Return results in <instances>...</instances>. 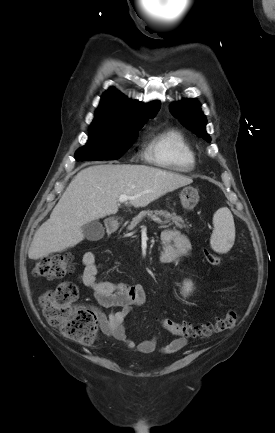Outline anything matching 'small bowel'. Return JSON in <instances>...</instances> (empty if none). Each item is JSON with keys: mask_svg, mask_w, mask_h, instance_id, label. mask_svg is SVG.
Instances as JSON below:
<instances>
[{"mask_svg": "<svg viewBox=\"0 0 275 433\" xmlns=\"http://www.w3.org/2000/svg\"><path fill=\"white\" fill-rule=\"evenodd\" d=\"M163 250L160 257L163 263H176L186 257L191 249L188 238L178 230L167 229L162 233ZM83 271L79 281L91 289L97 302L98 320L102 332L123 342L129 349H138L143 353L156 350V339L136 343L126 334L125 318L134 307L141 306L146 301V292L140 284L123 282L98 281V262L94 251H86L82 256ZM120 307L119 310L103 313L100 308ZM186 343L183 338L175 339L163 346L162 352L171 353L180 350Z\"/></svg>", "mask_w": 275, "mask_h": 433, "instance_id": "small-bowel-1", "label": "small bowel"}]
</instances>
